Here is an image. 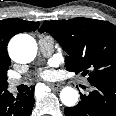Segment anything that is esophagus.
Wrapping results in <instances>:
<instances>
[{"instance_id": "34e87169", "label": "esophagus", "mask_w": 116, "mask_h": 116, "mask_svg": "<svg viewBox=\"0 0 116 116\" xmlns=\"http://www.w3.org/2000/svg\"><path fill=\"white\" fill-rule=\"evenodd\" d=\"M49 86L53 89V90H59L62 88V86L60 84H55V83H52V84H49Z\"/></svg>"}]
</instances>
